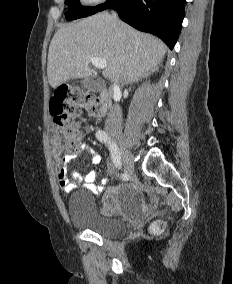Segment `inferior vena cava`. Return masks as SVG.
Here are the masks:
<instances>
[{
	"label": "inferior vena cava",
	"instance_id": "1",
	"mask_svg": "<svg viewBox=\"0 0 233 284\" xmlns=\"http://www.w3.org/2000/svg\"><path fill=\"white\" fill-rule=\"evenodd\" d=\"M112 16L116 18V13L113 12ZM122 124V111L118 105H114L110 108L108 117L106 120V128L108 130L119 131Z\"/></svg>",
	"mask_w": 233,
	"mask_h": 284
}]
</instances>
